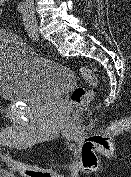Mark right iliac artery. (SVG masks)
<instances>
[{
	"label": "right iliac artery",
	"instance_id": "obj_1",
	"mask_svg": "<svg viewBox=\"0 0 131 177\" xmlns=\"http://www.w3.org/2000/svg\"><path fill=\"white\" fill-rule=\"evenodd\" d=\"M26 9H27V6L25 4H20L18 6V10L21 12V13H24L26 12Z\"/></svg>",
	"mask_w": 131,
	"mask_h": 177
}]
</instances>
